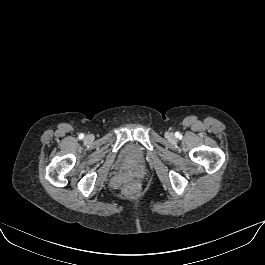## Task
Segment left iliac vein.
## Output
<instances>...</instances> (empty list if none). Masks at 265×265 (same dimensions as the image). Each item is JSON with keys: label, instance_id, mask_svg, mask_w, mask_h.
Returning <instances> with one entry per match:
<instances>
[{"label": "left iliac vein", "instance_id": "1", "mask_svg": "<svg viewBox=\"0 0 265 265\" xmlns=\"http://www.w3.org/2000/svg\"><path fill=\"white\" fill-rule=\"evenodd\" d=\"M169 138H173V135L172 134H169Z\"/></svg>", "mask_w": 265, "mask_h": 265}]
</instances>
